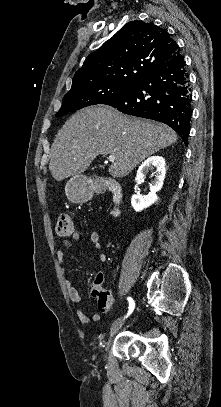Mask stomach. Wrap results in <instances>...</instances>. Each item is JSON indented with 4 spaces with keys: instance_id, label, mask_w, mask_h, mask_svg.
<instances>
[{
    "instance_id": "1",
    "label": "stomach",
    "mask_w": 221,
    "mask_h": 407,
    "mask_svg": "<svg viewBox=\"0 0 221 407\" xmlns=\"http://www.w3.org/2000/svg\"><path fill=\"white\" fill-rule=\"evenodd\" d=\"M65 193L68 200L74 204L87 202L93 195L86 178L81 175L74 176L67 181Z\"/></svg>"
}]
</instances>
